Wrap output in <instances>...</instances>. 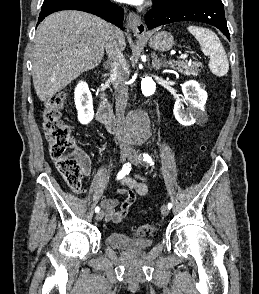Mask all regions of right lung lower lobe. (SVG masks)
Here are the masks:
<instances>
[{"label": "right lung lower lobe", "mask_w": 259, "mask_h": 294, "mask_svg": "<svg viewBox=\"0 0 259 294\" xmlns=\"http://www.w3.org/2000/svg\"><path fill=\"white\" fill-rule=\"evenodd\" d=\"M61 10H80L92 13L122 28L124 11L109 0H54L42 6L38 23L49 14Z\"/></svg>", "instance_id": "98d812e1"}]
</instances>
